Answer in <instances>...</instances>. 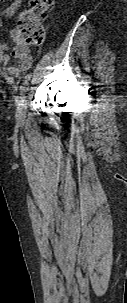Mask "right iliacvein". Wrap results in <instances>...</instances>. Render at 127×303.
Masks as SVG:
<instances>
[{"mask_svg": "<svg viewBox=\"0 0 127 303\" xmlns=\"http://www.w3.org/2000/svg\"><path fill=\"white\" fill-rule=\"evenodd\" d=\"M27 95L24 94L21 100L18 103L17 110H16V118L18 121H23L25 118V110L27 106Z\"/></svg>", "mask_w": 127, "mask_h": 303, "instance_id": "obj_1", "label": "right iliac vein"}]
</instances>
